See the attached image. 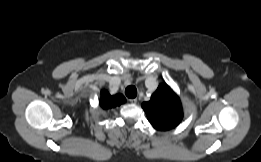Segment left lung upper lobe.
I'll use <instances>...</instances> for the list:
<instances>
[{"label":"left lung upper lobe","instance_id":"obj_1","mask_svg":"<svg viewBox=\"0 0 261 162\" xmlns=\"http://www.w3.org/2000/svg\"><path fill=\"white\" fill-rule=\"evenodd\" d=\"M149 122L157 130H169L176 127L183 118L179 97L166 84H160L151 100L142 104Z\"/></svg>","mask_w":261,"mask_h":162}]
</instances>
